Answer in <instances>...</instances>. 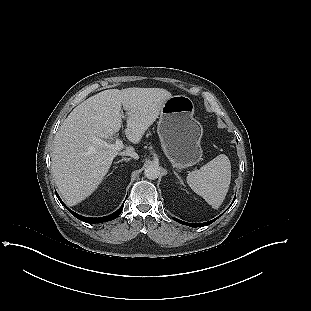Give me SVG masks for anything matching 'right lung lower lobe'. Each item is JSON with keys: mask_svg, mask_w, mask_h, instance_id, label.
I'll list each match as a JSON object with an SVG mask.
<instances>
[{"mask_svg": "<svg viewBox=\"0 0 311 311\" xmlns=\"http://www.w3.org/2000/svg\"><path fill=\"white\" fill-rule=\"evenodd\" d=\"M59 201L63 204L62 200L60 199V197L58 196V194L56 193ZM123 206L122 205L116 212H114L113 214L111 215H108V216H105V217H100V218H89V217H84V216H81L79 214H76L75 212H73L72 210H70L69 208L68 211L74 215L77 219L83 221V222H86V223H102V222H107V221H110V220H114L116 219L122 212L123 210Z\"/></svg>", "mask_w": 311, "mask_h": 311, "instance_id": "1", "label": "right lung lower lobe"}]
</instances>
